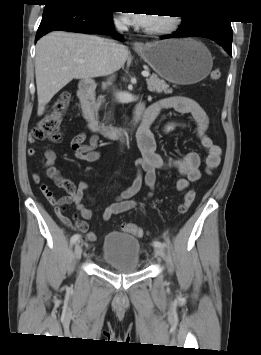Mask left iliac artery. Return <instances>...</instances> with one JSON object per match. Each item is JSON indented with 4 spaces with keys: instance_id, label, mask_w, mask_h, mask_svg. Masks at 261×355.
<instances>
[{
    "instance_id": "44dca946",
    "label": "left iliac artery",
    "mask_w": 261,
    "mask_h": 355,
    "mask_svg": "<svg viewBox=\"0 0 261 355\" xmlns=\"http://www.w3.org/2000/svg\"><path fill=\"white\" fill-rule=\"evenodd\" d=\"M153 246L154 247H160V248H164L165 244L160 242V241H153Z\"/></svg>"
}]
</instances>
